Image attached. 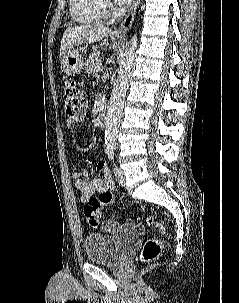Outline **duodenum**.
Returning a JSON list of instances; mask_svg holds the SVG:
<instances>
[{
  "mask_svg": "<svg viewBox=\"0 0 239 303\" xmlns=\"http://www.w3.org/2000/svg\"><path fill=\"white\" fill-rule=\"evenodd\" d=\"M97 120H98V123L100 126L105 124V120H106V111L105 110L99 111Z\"/></svg>",
  "mask_w": 239,
  "mask_h": 303,
  "instance_id": "obj_1",
  "label": "duodenum"
}]
</instances>
